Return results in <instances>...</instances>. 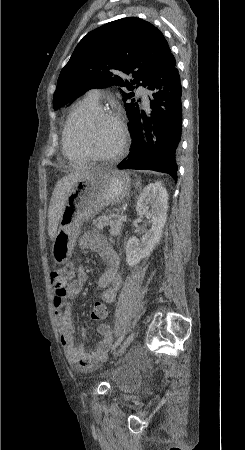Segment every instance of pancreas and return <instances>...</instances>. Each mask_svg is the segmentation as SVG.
Instances as JSON below:
<instances>
[{
	"label": "pancreas",
	"mask_w": 245,
	"mask_h": 450,
	"mask_svg": "<svg viewBox=\"0 0 245 450\" xmlns=\"http://www.w3.org/2000/svg\"><path fill=\"white\" fill-rule=\"evenodd\" d=\"M93 226L102 230L104 227H109V232L112 236H118L121 234V228L123 226L122 221L115 218L113 215L99 216L93 220Z\"/></svg>",
	"instance_id": "cf45deb5"
}]
</instances>
